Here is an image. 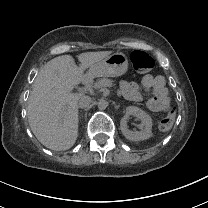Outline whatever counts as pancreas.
Wrapping results in <instances>:
<instances>
[{
	"label": "pancreas",
	"mask_w": 208,
	"mask_h": 208,
	"mask_svg": "<svg viewBox=\"0 0 208 208\" xmlns=\"http://www.w3.org/2000/svg\"><path fill=\"white\" fill-rule=\"evenodd\" d=\"M96 83H99L101 85V87H103L107 84H109L110 86H113V87L115 86V84H113L111 80L105 79V78L99 79Z\"/></svg>",
	"instance_id": "obj_1"
}]
</instances>
